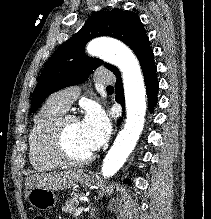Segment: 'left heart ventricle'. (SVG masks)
I'll use <instances>...</instances> for the list:
<instances>
[{"mask_svg":"<svg viewBox=\"0 0 211 219\" xmlns=\"http://www.w3.org/2000/svg\"><path fill=\"white\" fill-rule=\"evenodd\" d=\"M66 143L69 151L76 157H85L92 152L81 133L79 121L70 122L66 132Z\"/></svg>","mask_w":211,"mask_h":219,"instance_id":"left-heart-ventricle-1","label":"left heart ventricle"}]
</instances>
